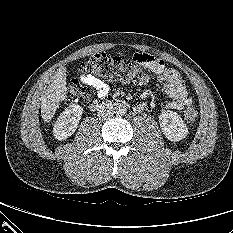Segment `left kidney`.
<instances>
[{"mask_svg": "<svg viewBox=\"0 0 233 233\" xmlns=\"http://www.w3.org/2000/svg\"><path fill=\"white\" fill-rule=\"evenodd\" d=\"M159 123L163 134L170 141L178 142L186 138L189 133L186 124L176 112L163 111L159 115Z\"/></svg>", "mask_w": 233, "mask_h": 233, "instance_id": "1", "label": "left kidney"}]
</instances>
